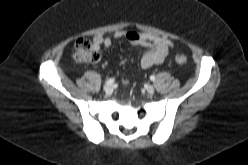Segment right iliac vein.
I'll use <instances>...</instances> for the list:
<instances>
[{"mask_svg": "<svg viewBox=\"0 0 248 165\" xmlns=\"http://www.w3.org/2000/svg\"><path fill=\"white\" fill-rule=\"evenodd\" d=\"M104 91L106 94H111L113 91V85L112 84L104 85Z\"/></svg>", "mask_w": 248, "mask_h": 165, "instance_id": "obj_1", "label": "right iliac vein"}]
</instances>
